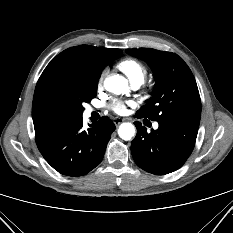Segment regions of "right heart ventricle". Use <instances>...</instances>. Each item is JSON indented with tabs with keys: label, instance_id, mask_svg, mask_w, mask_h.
<instances>
[{
	"label": "right heart ventricle",
	"instance_id": "right-heart-ventricle-1",
	"mask_svg": "<svg viewBox=\"0 0 233 233\" xmlns=\"http://www.w3.org/2000/svg\"><path fill=\"white\" fill-rule=\"evenodd\" d=\"M117 67L126 75L131 84L143 83L147 74L146 66L139 60L133 58H127L120 61Z\"/></svg>",
	"mask_w": 233,
	"mask_h": 233
}]
</instances>
